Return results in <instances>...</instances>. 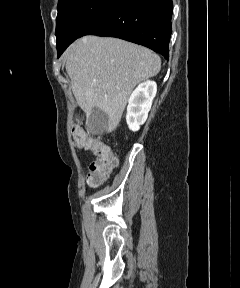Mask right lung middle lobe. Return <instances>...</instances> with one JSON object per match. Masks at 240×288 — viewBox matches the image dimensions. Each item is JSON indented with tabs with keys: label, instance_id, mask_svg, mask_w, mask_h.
<instances>
[{
	"label": "right lung middle lobe",
	"instance_id": "right-lung-middle-lobe-1",
	"mask_svg": "<svg viewBox=\"0 0 240 288\" xmlns=\"http://www.w3.org/2000/svg\"><path fill=\"white\" fill-rule=\"evenodd\" d=\"M113 0H59L56 18L57 51L59 54L98 17Z\"/></svg>",
	"mask_w": 240,
	"mask_h": 288
}]
</instances>
